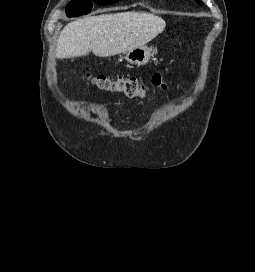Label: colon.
I'll return each mask as SVG.
<instances>
[{
    "mask_svg": "<svg viewBox=\"0 0 255 272\" xmlns=\"http://www.w3.org/2000/svg\"><path fill=\"white\" fill-rule=\"evenodd\" d=\"M87 78L100 90L119 93L129 99L145 98L149 91V86L141 83L135 77L88 74ZM151 86L160 90L167 88V80L162 72H156L152 75Z\"/></svg>",
    "mask_w": 255,
    "mask_h": 272,
    "instance_id": "obj_1",
    "label": "colon"
}]
</instances>
